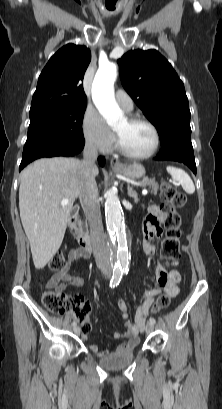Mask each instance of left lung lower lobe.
I'll return each instance as SVG.
<instances>
[{
	"label": "left lung lower lobe",
	"mask_w": 222,
	"mask_h": 409,
	"mask_svg": "<svg viewBox=\"0 0 222 409\" xmlns=\"http://www.w3.org/2000/svg\"><path fill=\"white\" fill-rule=\"evenodd\" d=\"M156 160L178 161L186 164L196 174L192 143L176 142L161 148Z\"/></svg>",
	"instance_id": "left-lung-lower-lobe-1"
}]
</instances>
